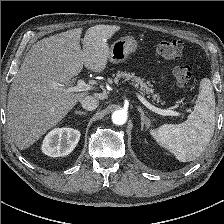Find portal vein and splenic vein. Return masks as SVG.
Wrapping results in <instances>:
<instances>
[{
    "label": "portal vein and splenic vein",
    "instance_id": "obj_1",
    "mask_svg": "<svg viewBox=\"0 0 224 224\" xmlns=\"http://www.w3.org/2000/svg\"><path fill=\"white\" fill-rule=\"evenodd\" d=\"M57 86V85H56ZM92 86L89 84H86L83 79H79L77 81V85L73 87H69L67 89H64V92L70 93V92H81V91H88L91 90ZM138 99L144 104L148 109L152 110L153 112L165 115V116H181V114L177 111L170 110V109H161L153 106L150 104L143 96L137 93Z\"/></svg>",
    "mask_w": 224,
    "mask_h": 224
}]
</instances>
